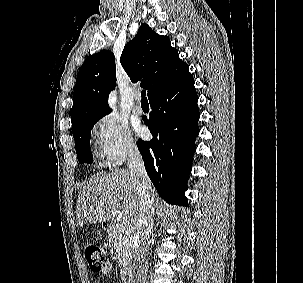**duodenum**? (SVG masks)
Listing matches in <instances>:
<instances>
[{"label":"duodenum","mask_w":303,"mask_h":283,"mask_svg":"<svg viewBox=\"0 0 303 283\" xmlns=\"http://www.w3.org/2000/svg\"><path fill=\"white\" fill-rule=\"evenodd\" d=\"M108 226L111 227L112 224H109ZM123 275L126 283H133L131 271L128 268L123 269Z\"/></svg>","instance_id":"410a0bca"}]
</instances>
